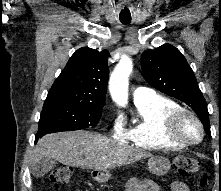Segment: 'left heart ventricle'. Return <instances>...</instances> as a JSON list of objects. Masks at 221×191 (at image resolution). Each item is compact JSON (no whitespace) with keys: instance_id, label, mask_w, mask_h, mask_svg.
Returning <instances> with one entry per match:
<instances>
[{"instance_id":"obj_1","label":"left heart ventricle","mask_w":221,"mask_h":191,"mask_svg":"<svg viewBox=\"0 0 221 191\" xmlns=\"http://www.w3.org/2000/svg\"><path fill=\"white\" fill-rule=\"evenodd\" d=\"M185 131L190 137H195L197 134V130H196L195 126L192 124H187L185 126Z\"/></svg>"}]
</instances>
